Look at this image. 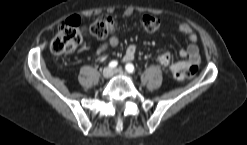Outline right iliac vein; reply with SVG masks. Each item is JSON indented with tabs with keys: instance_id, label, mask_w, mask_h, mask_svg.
Returning <instances> with one entry per match:
<instances>
[{
	"instance_id": "right-iliac-vein-1",
	"label": "right iliac vein",
	"mask_w": 247,
	"mask_h": 145,
	"mask_svg": "<svg viewBox=\"0 0 247 145\" xmlns=\"http://www.w3.org/2000/svg\"><path fill=\"white\" fill-rule=\"evenodd\" d=\"M112 74H113V71H112L111 68H105L103 70V73H102V75H103L104 78H109V77L112 76Z\"/></svg>"
}]
</instances>
